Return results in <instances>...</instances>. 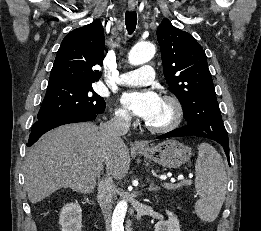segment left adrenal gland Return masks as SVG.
I'll use <instances>...</instances> for the list:
<instances>
[{
  "instance_id": "left-adrenal-gland-1",
  "label": "left adrenal gland",
  "mask_w": 261,
  "mask_h": 231,
  "mask_svg": "<svg viewBox=\"0 0 261 231\" xmlns=\"http://www.w3.org/2000/svg\"><path fill=\"white\" fill-rule=\"evenodd\" d=\"M159 189H160V187L154 186L153 182H151V184L148 188L149 191H158Z\"/></svg>"
}]
</instances>
